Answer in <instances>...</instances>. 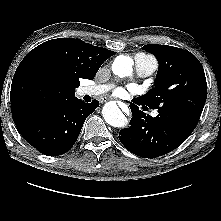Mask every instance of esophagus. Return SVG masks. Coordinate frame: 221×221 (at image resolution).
<instances>
[{
    "mask_svg": "<svg viewBox=\"0 0 221 221\" xmlns=\"http://www.w3.org/2000/svg\"><path fill=\"white\" fill-rule=\"evenodd\" d=\"M108 100H109L108 98H105L103 101L106 102V101H108ZM121 106H122V107H125L126 105H125V104H122Z\"/></svg>",
    "mask_w": 221,
    "mask_h": 221,
    "instance_id": "1",
    "label": "esophagus"
}]
</instances>
